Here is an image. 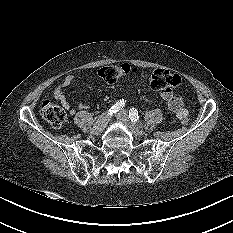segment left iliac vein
<instances>
[{
	"mask_svg": "<svg viewBox=\"0 0 233 233\" xmlns=\"http://www.w3.org/2000/svg\"><path fill=\"white\" fill-rule=\"evenodd\" d=\"M116 117L121 120L125 126L128 128V130L135 136V137H141L144 135V132L141 131L138 127L134 126L128 119V113L127 111H120L116 114Z\"/></svg>",
	"mask_w": 233,
	"mask_h": 233,
	"instance_id": "obj_1",
	"label": "left iliac vein"
}]
</instances>
